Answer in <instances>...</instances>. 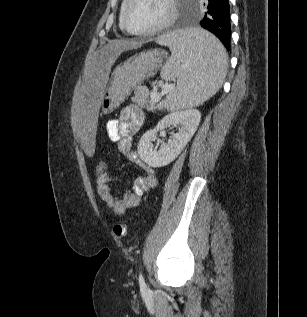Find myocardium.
<instances>
[{
	"label": "myocardium",
	"mask_w": 307,
	"mask_h": 317,
	"mask_svg": "<svg viewBox=\"0 0 307 317\" xmlns=\"http://www.w3.org/2000/svg\"><path fill=\"white\" fill-rule=\"evenodd\" d=\"M175 1L176 0H167L170 11H169L167 18L162 23H160V24H158V25H156L153 28H150L148 30L134 31V30H131L129 28L128 23H127V12H128L130 5L134 2V0H127L125 6L123 8L122 15H121V23H122L123 29L127 33H129L131 35H135V36H149V35H154L156 33L163 31L164 29H166L167 27L172 25L174 23V21L176 20L177 6H176Z\"/></svg>",
	"instance_id": "obj_1"
}]
</instances>
